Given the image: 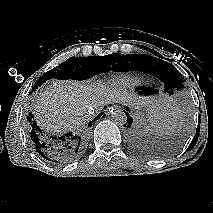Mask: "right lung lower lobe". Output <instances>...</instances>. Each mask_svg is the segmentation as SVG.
Wrapping results in <instances>:
<instances>
[{
	"mask_svg": "<svg viewBox=\"0 0 213 213\" xmlns=\"http://www.w3.org/2000/svg\"><path fill=\"white\" fill-rule=\"evenodd\" d=\"M38 86L40 85H34L32 91L36 90ZM102 115L103 113H100L96 116L89 123V127ZM27 125L33 147L40 156L48 161L57 164L67 163L79 157L85 147L86 135L71 132L61 136L50 135L40 129L31 112L27 116Z\"/></svg>",
	"mask_w": 213,
	"mask_h": 213,
	"instance_id": "98d812e1",
	"label": "right lung lower lobe"
}]
</instances>
